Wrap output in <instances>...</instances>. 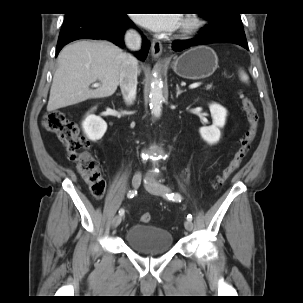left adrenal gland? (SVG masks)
Returning a JSON list of instances; mask_svg holds the SVG:
<instances>
[{
  "label": "left adrenal gland",
  "mask_w": 303,
  "mask_h": 303,
  "mask_svg": "<svg viewBox=\"0 0 303 303\" xmlns=\"http://www.w3.org/2000/svg\"><path fill=\"white\" fill-rule=\"evenodd\" d=\"M184 91L180 89L179 85H176V97L178 98V96L183 93Z\"/></svg>",
  "instance_id": "obj_1"
}]
</instances>
